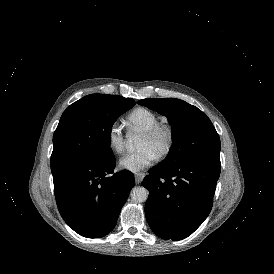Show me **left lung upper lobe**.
Returning <instances> with one entry per match:
<instances>
[{
	"label": "left lung upper lobe",
	"instance_id": "obj_1",
	"mask_svg": "<svg viewBox=\"0 0 274 274\" xmlns=\"http://www.w3.org/2000/svg\"><path fill=\"white\" fill-rule=\"evenodd\" d=\"M138 103L166 116L172 125L173 145L162 165L174 166L200 157L220 159L219 135L197 107L175 98L143 99Z\"/></svg>",
	"mask_w": 274,
	"mask_h": 274
}]
</instances>
